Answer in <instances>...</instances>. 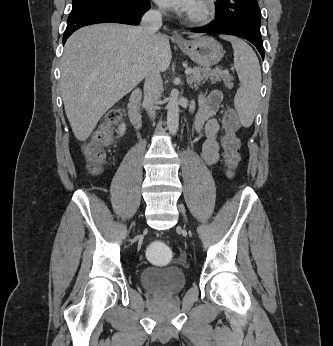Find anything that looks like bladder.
Returning a JSON list of instances; mask_svg holds the SVG:
<instances>
[{
	"label": "bladder",
	"instance_id": "31cf9c89",
	"mask_svg": "<svg viewBox=\"0 0 333 346\" xmlns=\"http://www.w3.org/2000/svg\"><path fill=\"white\" fill-rule=\"evenodd\" d=\"M139 282L151 293L175 295L184 288L186 279L178 269L149 266L140 272Z\"/></svg>",
	"mask_w": 333,
	"mask_h": 346
}]
</instances>
